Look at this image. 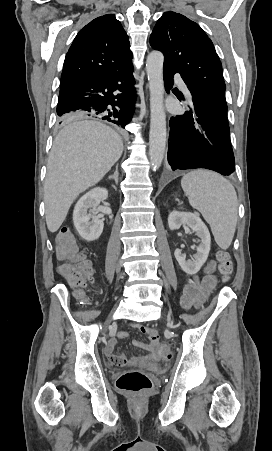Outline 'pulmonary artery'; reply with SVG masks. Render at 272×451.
I'll list each match as a JSON object with an SVG mask.
<instances>
[{
  "label": "pulmonary artery",
  "mask_w": 272,
  "mask_h": 451,
  "mask_svg": "<svg viewBox=\"0 0 272 451\" xmlns=\"http://www.w3.org/2000/svg\"><path fill=\"white\" fill-rule=\"evenodd\" d=\"M176 78L178 79L175 83L177 86V91L179 93H182L186 100H189L191 98V95L189 94V91L187 90L186 81L184 80V76L182 74H179Z\"/></svg>",
  "instance_id": "1"
}]
</instances>
